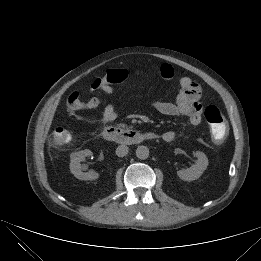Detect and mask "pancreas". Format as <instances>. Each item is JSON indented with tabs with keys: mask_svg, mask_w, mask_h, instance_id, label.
<instances>
[{
	"mask_svg": "<svg viewBox=\"0 0 261 261\" xmlns=\"http://www.w3.org/2000/svg\"><path fill=\"white\" fill-rule=\"evenodd\" d=\"M120 126H121V127H125V125H124V124H120Z\"/></svg>",
	"mask_w": 261,
	"mask_h": 261,
	"instance_id": "cf45deb5",
	"label": "pancreas"
}]
</instances>
